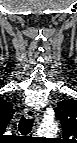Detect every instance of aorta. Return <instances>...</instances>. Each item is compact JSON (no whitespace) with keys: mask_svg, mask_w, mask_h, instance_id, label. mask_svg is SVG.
<instances>
[{"mask_svg":"<svg viewBox=\"0 0 77 143\" xmlns=\"http://www.w3.org/2000/svg\"><path fill=\"white\" fill-rule=\"evenodd\" d=\"M57 132H58V127L54 121L42 123L37 130V133L39 135L46 137L55 136Z\"/></svg>","mask_w":77,"mask_h":143,"instance_id":"aorta-1","label":"aorta"}]
</instances>
